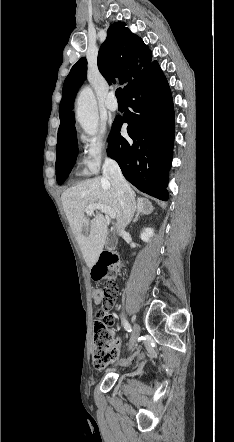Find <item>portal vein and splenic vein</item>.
<instances>
[{"instance_id":"portal-vein-and-splenic-vein-1","label":"portal vein and splenic vein","mask_w":234,"mask_h":442,"mask_svg":"<svg viewBox=\"0 0 234 442\" xmlns=\"http://www.w3.org/2000/svg\"><path fill=\"white\" fill-rule=\"evenodd\" d=\"M95 209L100 210L101 212L105 213V215L109 216L110 218H115L116 217V213L114 212V210H112L110 207H108V206H106L104 204H101V203H92V204H90L85 209V212L88 215H91Z\"/></svg>"}]
</instances>
